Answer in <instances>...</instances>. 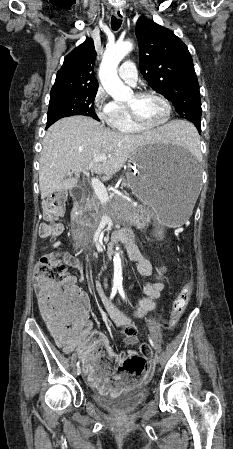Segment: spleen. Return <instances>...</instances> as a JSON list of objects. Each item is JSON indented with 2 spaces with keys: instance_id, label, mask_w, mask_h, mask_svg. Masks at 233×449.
<instances>
[{
  "instance_id": "spleen-1",
  "label": "spleen",
  "mask_w": 233,
  "mask_h": 449,
  "mask_svg": "<svg viewBox=\"0 0 233 449\" xmlns=\"http://www.w3.org/2000/svg\"><path fill=\"white\" fill-rule=\"evenodd\" d=\"M178 144L185 148L196 149L199 143L198 136L194 131L192 124L183 125L182 134H178Z\"/></svg>"
}]
</instances>
